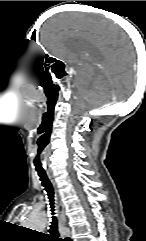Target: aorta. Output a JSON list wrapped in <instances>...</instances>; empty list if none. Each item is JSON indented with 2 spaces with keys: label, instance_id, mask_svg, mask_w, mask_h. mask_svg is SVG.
Here are the masks:
<instances>
[{
  "label": "aorta",
  "instance_id": "1",
  "mask_svg": "<svg viewBox=\"0 0 146 241\" xmlns=\"http://www.w3.org/2000/svg\"><path fill=\"white\" fill-rule=\"evenodd\" d=\"M46 224H47V215L45 212L32 214L24 222V225L27 228L37 230V231L43 230L46 227Z\"/></svg>",
  "mask_w": 146,
  "mask_h": 241
}]
</instances>
